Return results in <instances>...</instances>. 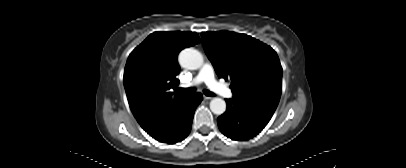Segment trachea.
I'll return each mask as SVG.
<instances>
[{"label":"trachea","instance_id":"trachea-1","mask_svg":"<svg viewBox=\"0 0 406 168\" xmlns=\"http://www.w3.org/2000/svg\"><path fill=\"white\" fill-rule=\"evenodd\" d=\"M178 92H181L182 94H186V95H190V94H194L196 92V89L194 87L191 88H177L176 89ZM203 93L206 96H210L213 97L215 96V94L213 92H210L209 90H204Z\"/></svg>","mask_w":406,"mask_h":168}]
</instances>
